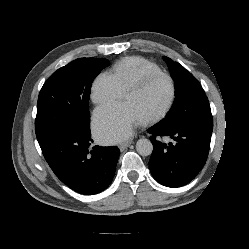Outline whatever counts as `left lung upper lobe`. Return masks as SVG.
Segmentation results:
<instances>
[{"mask_svg":"<svg viewBox=\"0 0 249 249\" xmlns=\"http://www.w3.org/2000/svg\"><path fill=\"white\" fill-rule=\"evenodd\" d=\"M175 84V101L167 116L160 121L166 128H184L213 122L208 98L198 80L179 63L163 57Z\"/></svg>","mask_w":249,"mask_h":249,"instance_id":"1","label":"left lung upper lobe"}]
</instances>
